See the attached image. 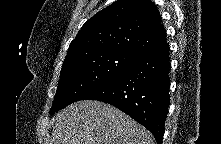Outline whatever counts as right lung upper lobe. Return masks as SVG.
Instances as JSON below:
<instances>
[{"label":"right lung upper lobe","instance_id":"right-lung-upper-lobe-1","mask_svg":"<svg viewBox=\"0 0 221 144\" xmlns=\"http://www.w3.org/2000/svg\"><path fill=\"white\" fill-rule=\"evenodd\" d=\"M164 41V27L150 0H118L84 23L63 65L109 50L140 56Z\"/></svg>","mask_w":221,"mask_h":144}]
</instances>
